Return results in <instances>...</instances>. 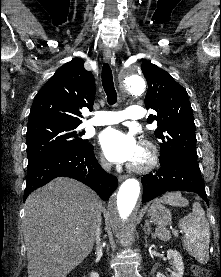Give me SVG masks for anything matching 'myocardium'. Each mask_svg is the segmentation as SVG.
Masks as SVG:
<instances>
[{"mask_svg": "<svg viewBox=\"0 0 221 277\" xmlns=\"http://www.w3.org/2000/svg\"><path fill=\"white\" fill-rule=\"evenodd\" d=\"M141 149L144 153V160L141 162H132L127 167L136 173H146L155 168L158 163V150L156 146L148 140L141 142Z\"/></svg>", "mask_w": 221, "mask_h": 277, "instance_id": "f54148a6", "label": "myocardium"}]
</instances>
